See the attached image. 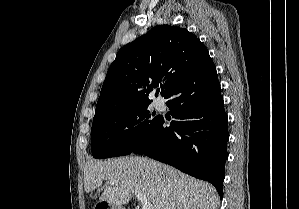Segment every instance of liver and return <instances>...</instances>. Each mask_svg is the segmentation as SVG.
<instances>
[{"instance_id": "6515ba94", "label": "liver", "mask_w": 299, "mask_h": 209, "mask_svg": "<svg viewBox=\"0 0 299 209\" xmlns=\"http://www.w3.org/2000/svg\"><path fill=\"white\" fill-rule=\"evenodd\" d=\"M104 180L110 186L98 191L99 199L115 207L127 204L135 193L146 196L153 209H217L219 205V196L208 182L144 157L87 162L85 191L92 193Z\"/></svg>"}]
</instances>
